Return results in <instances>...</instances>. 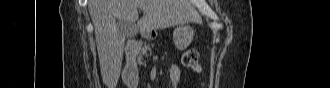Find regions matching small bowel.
<instances>
[{
	"label": "small bowel",
	"mask_w": 330,
	"mask_h": 88,
	"mask_svg": "<svg viewBox=\"0 0 330 88\" xmlns=\"http://www.w3.org/2000/svg\"><path fill=\"white\" fill-rule=\"evenodd\" d=\"M131 70H134V66L131 67ZM182 78H183L182 69L177 65L171 66L169 70V80L171 87L173 88L178 87V85L182 81Z\"/></svg>",
	"instance_id": "small-bowel-1"
}]
</instances>
